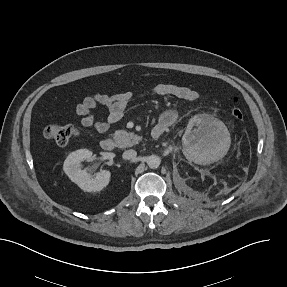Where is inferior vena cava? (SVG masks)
<instances>
[{"label":"inferior vena cava","mask_w":287,"mask_h":287,"mask_svg":"<svg viewBox=\"0 0 287 287\" xmlns=\"http://www.w3.org/2000/svg\"><path fill=\"white\" fill-rule=\"evenodd\" d=\"M136 155H137V152H136L135 150H133V149H130V150H126V151L123 153L122 157H123V159H125V160H130V159L135 158Z\"/></svg>","instance_id":"obj_1"}]
</instances>
